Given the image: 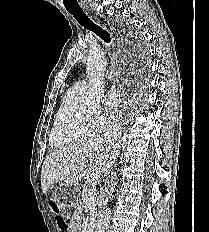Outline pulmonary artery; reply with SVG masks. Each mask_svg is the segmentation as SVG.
<instances>
[{
  "instance_id": "1",
  "label": "pulmonary artery",
  "mask_w": 209,
  "mask_h": 232,
  "mask_svg": "<svg viewBox=\"0 0 209 232\" xmlns=\"http://www.w3.org/2000/svg\"><path fill=\"white\" fill-rule=\"evenodd\" d=\"M105 77L107 80H111L113 75L111 72H107ZM72 88L79 93H85L87 88V81L85 79L79 80L73 85Z\"/></svg>"
}]
</instances>
